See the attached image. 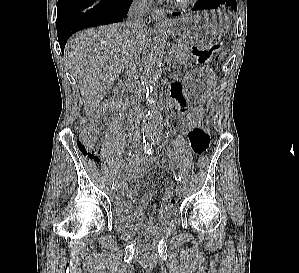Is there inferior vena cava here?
I'll list each match as a JSON object with an SVG mask.
<instances>
[{
  "label": "inferior vena cava",
  "instance_id": "obj_1",
  "mask_svg": "<svg viewBox=\"0 0 299 273\" xmlns=\"http://www.w3.org/2000/svg\"><path fill=\"white\" fill-rule=\"evenodd\" d=\"M150 0H134L128 13L127 26L130 28L131 34H135L145 28V18L149 12ZM138 58V50L132 46L129 54V63L126 66L128 76L127 88L131 93V107L132 114H140V96L137 93V71L136 61ZM138 130V126L134 127Z\"/></svg>",
  "mask_w": 299,
  "mask_h": 273
}]
</instances>
